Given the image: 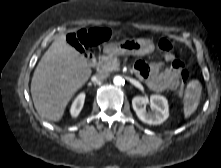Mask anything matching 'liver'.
<instances>
[{
  "instance_id": "6515ba94",
  "label": "liver",
  "mask_w": 221,
  "mask_h": 168,
  "mask_svg": "<svg viewBox=\"0 0 221 168\" xmlns=\"http://www.w3.org/2000/svg\"><path fill=\"white\" fill-rule=\"evenodd\" d=\"M91 69L79 52L60 34L39 61L31 81V95L38 114L60 121L74 94L88 81Z\"/></svg>"
}]
</instances>
